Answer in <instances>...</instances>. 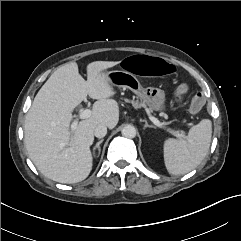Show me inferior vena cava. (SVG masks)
Masks as SVG:
<instances>
[{
    "label": "inferior vena cava",
    "mask_w": 241,
    "mask_h": 241,
    "mask_svg": "<svg viewBox=\"0 0 241 241\" xmlns=\"http://www.w3.org/2000/svg\"><path fill=\"white\" fill-rule=\"evenodd\" d=\"M107 134V127L103 124H99L94 129V135L97 138H103Z\"/></svg>",
    "instance_id": "obj_1"
}]
</instances>
